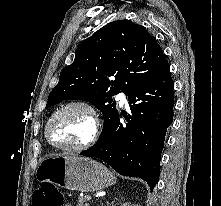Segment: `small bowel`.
Listing matches in <instances>:
<instances>
[{
	"instance_id": "1",
	"label": "small bowel",
	"mask_w": 221,
	"mask_h": 206,
	"mask_svg": "<svg viewBox=\"0 0 221 206\" xmlns=\"http://www.w3.org/2000/svg\"><path fill=\"white\" fill-rule=\"evenodd\" d=\"M65 206H72L71 204H65Z\"/></svg>"
}]
</instances>
